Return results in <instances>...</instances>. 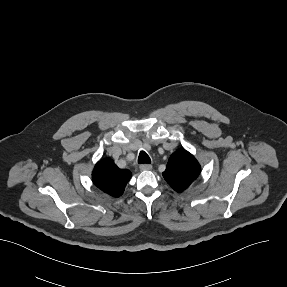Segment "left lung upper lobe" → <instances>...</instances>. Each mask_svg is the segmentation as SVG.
Masks as SVG:
<instances>
[{"mask_svg":"<svg viewBox=\"0 0 287 287\" xmlns=\"http://www.w3.org/2000/svg\"><path fill=\"white\" fill-rule=\"evenodd\" d=\"M201 168L195 157L178 149L169 158L163 177L177 192H182L198 177Z\"/></svg>","mask_w":287,"mask_h":287,"instance_id":"left-lung-upper-lobe-1","label":"left lung upper lobe"}]
</instances>
